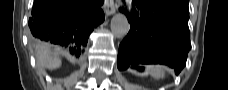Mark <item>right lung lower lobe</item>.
I'll list each match as a JSON object with an SVG mask.
<instances>
[{"instance_id":"right-lung-lower-lobe-1","label":"right lung lower lobe","mask_w":228,"mask_h":90,"mask_svg":"<svg viewBox=\"0 0 228 90\" xmlns=\"http://www.w3.org/2000/svg\"><path fill=\"white\" fill-rule=\"evenodd\" d=\"M104 0H34L29 29L34 38L66 47L79 57L88 37L104 21Z\"/></svg>"}]
</instances>
